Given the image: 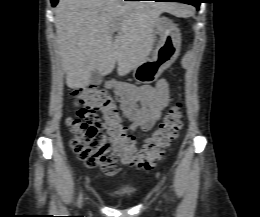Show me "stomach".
<instances>
[{
    "label": "stomach",
    "mask_w": 260,
    "mask_h": 217,
    "mask_svg": "<svg viewBox=\"0 0 260 217\" xmlns=\"http://www.w3.org/2000/svg\"><path fill=\"white\" fill-rule=\"evenodd\" d=\"M155 33L159 41L150 58H146L133 69V77L138 83L150 84L161 75L178 57L180 52L179 33L168 18H158Z\"/></svg>",
    "instance_id": "1"
}]
</instances>
